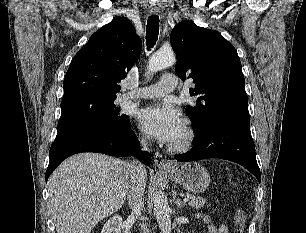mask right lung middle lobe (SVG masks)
<instances>
[{"label":"right lung middle lobe","instance_id":"right-lung-middle-lobe-1","mask_svg":"<svg viewBox=\"0 0 306 233\" xmlns=\"http://www.w3.org/2000/svg\"><path fill=\"white\" fill-rule=\"evenodd\" d=\"M116 98L85 97L61 103L62 115L57 127V136L92 125L120 129L129 123V117L119 114L114 104Z\"/></svg>","mask_w":306,"mask_h":233}]
</instances>
